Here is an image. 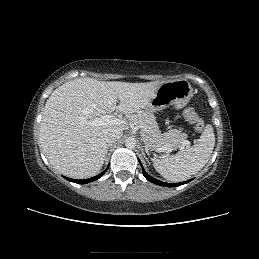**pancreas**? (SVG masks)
Returning <instances> with one entry per match:
<instances>
[{
  "mask_svg": "<svg viewBox=\"0 0 259 259\" xmlns=\"http://www.w3.org/2000/svg\"><path fill=\"white\" fill-rule=\"evenodd\" d=\"M129 120L141 127L144 143L149 149H159L162 146L175 149L184 146L187 141V134L176 129L162 134L152 113L133 114L129 116Z\"/></svg>",
  "mask_w": 259,
  "mask_h": 259,
  "instance_id": "obj_1",
  "label": "pancreas"
}]
</instances>
